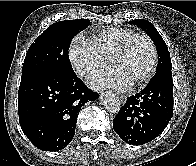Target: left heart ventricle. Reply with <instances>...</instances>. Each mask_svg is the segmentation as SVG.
<instances>
[{
    "instance_id": "obj_1",
    "label": "left heart ventricle",
    "mask_w": 196,
    "mask_h": 166,
    "mask_svg": "<svg viewBox=\"0 0 196 166\" xmlns=\"http://www.w3.org/2000/svg\"><path fill=\"white\" fill-rule=\"evenodd\" d=\"M152 54L144 38L137 37L129 45L127 52L114 59L111 66L117 68L132 83L141 78L149 69Z\"/></svg>"
}]
</instances>
